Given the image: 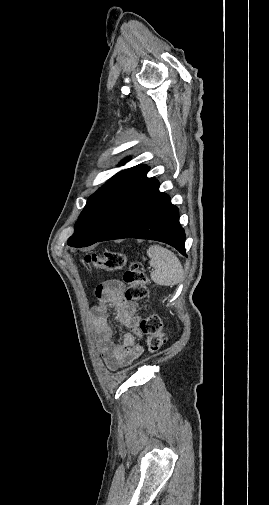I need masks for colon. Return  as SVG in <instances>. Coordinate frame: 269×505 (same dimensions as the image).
<instances>
[{
	"label": "colon",
	"instance_id": "colon-1",
	"mask_svg": "<svg viewBox=\"0 0 269 505\" xmlns=\"http://www.w3.org/2000/svg\"><path fill=\"white\" fill-rule=\"evenodd\" d=\"M86 262L97 269L117 271L125 267L124 282L127 286L125 297L130 301L145 299L149 291V279L137 262L129 261L125 253L106 251L103 254H92ZM141 332L146 335V345L150 352H158L165 344L163 323L157 314L144 316L139 324Z\"/></svg>",
	"mask_w": 269,
	"mask_h": 505
}]
</instances>
